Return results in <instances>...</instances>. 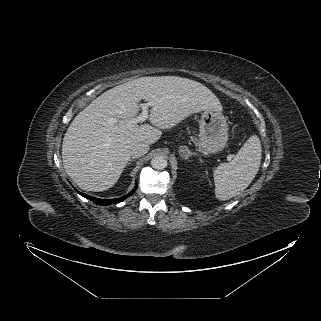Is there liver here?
Instances as JSON below:
<instances>
[{
	"mask_svg": "<svg viewBox=\"0 0 321 321\" xmlns=\"http://www.w3.org/2000/svg\"><path fill=\"white\" fill-rule=\"evenodd\" d=\"M153 101L152 124L133 123L141 100ZM222 110L218 98L199 82L178 76L141 77L118 85L93 100L71 122L62 144L68 176L83 190L104 191L130 161V147L155 143L191 114Z\"/></svg>",
	"mask_w": 321,
	"mask_h": 321,
	"instance_id": "6515ba94",
	"label": "liver"
}]
</instances>
